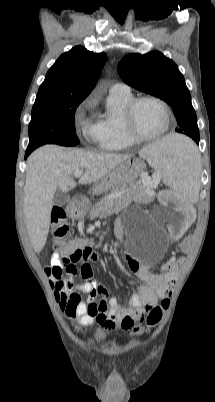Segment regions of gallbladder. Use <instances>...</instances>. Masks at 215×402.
<instances>
[{
    "mask_svg": "<svg viewBox=\"0 0 215 402\" xmlns=\"http://www.w3.org/2000/svg\"><path fill=\"white\" fill-rule=\"evenodd\" d=\"M69 201L70 196L67 193L61 191L56 192L53 198V204L56 206H63Z\"/></svg>",
    "mask_w": 215,
    "mask_h": 402,
    "instance_id": "obj_1",
    "label": "gallbladder"
}]
</instances>
